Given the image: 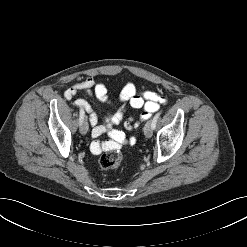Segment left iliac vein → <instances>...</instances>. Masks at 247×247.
Masks as SVG:
<instances>
[{
    "mask_svg": "<svg viewBox=\"0 0 247 247\" xmlns=\"http://www.w3.org/2000/svg\"><path fill=\"white\" fill-rule=\"evenodd\" d=\"M144 134L147 138H151L153 134L152 121H148L144 127Z\"/></svg>",
    "mask_w": 247,
    "mask_h": 247,
    "instance_id": "1",
    "label": "left iliac vein"
}]
</instances>
